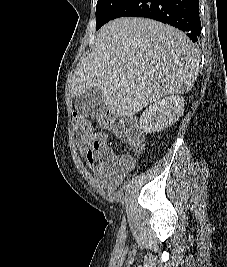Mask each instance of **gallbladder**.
<instances>
[{"label":"gallbladder","instance_id":"1","mask_svg":"<svg viewBox=\"0 0 227 267\" xmlns=\"http://www.w3.org/2000/svg\"><path fill=\"white\" fill-rule=\"evenodd\" d=\"M76 109L84 114L94 116L103 108L102 91L99 88H93L76 97Z\"/></svg>","mask_w":227,"mask_h":267}]
</instances>
